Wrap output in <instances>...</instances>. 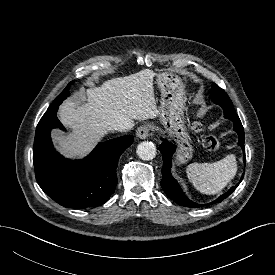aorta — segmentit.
Instances as JSON below:
<instances>
[{"mask_svg":"<svg viewBox=\"0 0 275 275\" xmlns=\"http://www.w3.org/2000/svg\"><path fill=\"white\" fill-rule=\"evenodd\" d=\"M156 153V146L152 142L144 141L137 146V155L142 160H152Z\"/></svg>","mask_w":275,"mask_h":275,"instance_id":"obj_1","label":"aorta"}]
</instances>
